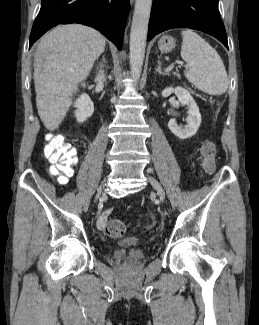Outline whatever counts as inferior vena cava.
<instances>
[{"instance_id": "inferior-vena-cava-1", "label": "inferior vena cava", "mask_w": 259, "mask_h": 325, "mask_svg": "<svg viewBox=\"0 0 259 325\" xmlns=\"http://www.w3.org/2000/svg\"><path fill=\"white\" fill-rule=\"evenodd\" d=\"M96 81L98 82H103L105 81V75L103 71H100L99 74L96 77Z\"/></svg>"}]
</instances>
